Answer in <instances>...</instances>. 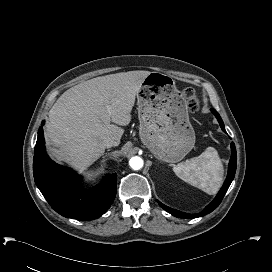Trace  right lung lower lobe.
Segmentation results:
<instances>
[{"label":"right lung lower lobe","instance_id":"obj_1","mask_svg":"<svg viewBox=\"0 0 272 272\" xmlns=\"http://www.w3.org/2000/svg\"><path fill=\"white\" fill-rule=\"evenodd\" d=\"M33 161L37 187L52 208L62 216L93 220L104 214L113 203L116 173L105 176L99 185L90 190H80V177L74 171L59 166L47 155L42 127L38 130Z\"/></svg>","mask_w":272,"mask_h":272}]
</instances>
